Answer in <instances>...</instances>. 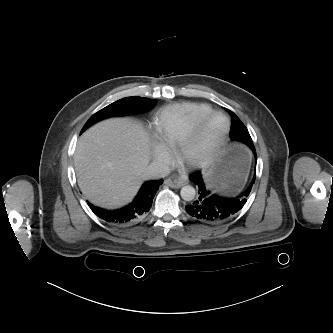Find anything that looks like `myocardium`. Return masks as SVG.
I'll list each match as a JSON object with an SVG mask.
<instances>
[{
  "instance_id": "obj_1",
  "label": "myocardium",
  "mask_w": 333,
  "mask_h": 333,
  "mask_svg": "<svg viewBox=\"0 0 333 333\" xmlns=\"http://www.w3.org/2000/svg\"><path fill=\"white\" fill-rule=\"evenodd\" d=\"M221 117L224 120L223 127L217 136L208 141L203 153H197L196 147L203 138L207 124L214 118ZM230 132V120L221 111L212 110L207 115L197 120L190 128L188 134L176 148V158L179 164L190 168H205L211 165L223 145L225 144Z\"/></svg>"
}]
</instances>
